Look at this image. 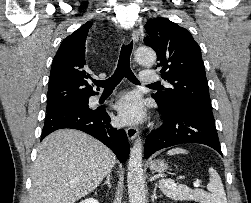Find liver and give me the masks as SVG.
<instances>
[{"instance_id": "6515ba94", "label": "liver", "mask_w": 251, "mask_h": 203, "mask_svg": "<svg viewBox=\"0 0 251 203\" xmlns=\"http://www.w3.org/2000/svg\"><path fill=\"white\" fill-rule=\"evenodd\" d=\"M37 151L29 203H75L95 190L116 163L109 148L71 129L48 135Z\"/></svg>"}]
</instances>
